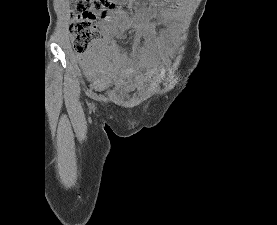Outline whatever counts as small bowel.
<instances>
[{"label":"small bowel","instance_id":"1","mask_svg":"<svg viewBox=\"0 0 277 225\" xmlns=\"http://www.w3.org/2000/svg\"><path fill=\"white\" fill-rule=\"evenodd\" d=\"M166 2L164 0L157 7L143 12V25L133 31L134 40L144 38L146 45L136 51L123 50L115 43V37L125 33L132 24L120 8L112 9L106 17L101 18L100 49L93 54L78 57L84 75L97 90L103 91L110 85L123 87V75L136 72L143 63L154 62L167 52L179 13L176 5ZM159 25L164 28L157 32ZM143 84L144 79L141 78L139 90L143 89Z\"/></svg>","mask_w":277,"mask_h":225}]
</instances>
